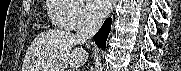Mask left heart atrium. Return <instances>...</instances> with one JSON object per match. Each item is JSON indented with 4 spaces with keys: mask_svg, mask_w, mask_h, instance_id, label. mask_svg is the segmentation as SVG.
Instances as JSON below:
<instances>
[{
    "mask_svg": "<svg viewBox=\"0 0 181 71\" xmlns=\"http://www.w3.org/2000/svg\"><path fill=\"white\" fill-rule=\"evenodd\" d=\"M92 9L99 15L107 14L112 8L113 1L111 0H90Z\"/></svg>",
    "mask_w": 181,
    "mask_h": 71,
    "instance_id": "1",
    "label": "left heart atrium"
}]
</instances>
